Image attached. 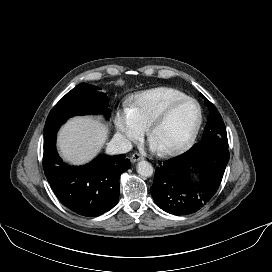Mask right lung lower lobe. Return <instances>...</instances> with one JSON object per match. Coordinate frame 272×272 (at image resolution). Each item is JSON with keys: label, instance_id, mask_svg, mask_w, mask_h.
Masks as SVG:
<instances>
[{"label": "right lung lower lobe", "instance_id": "obj_1", "mask_svg": "<svg viewBox=\"0 0 272 272\" xmlns=\"http://www.w3.org/2000/svg\"><path fill=\"white\" fill-rule=\"evenodd\" d=\"M56 134L45 140L43 168L60 202L82 216H98L115 206L119 177L131 166L125 155H100L85 166H69L56 150Z\"/></svg>", "mask_w": 272, "mask_h": 272}]
</instances>
